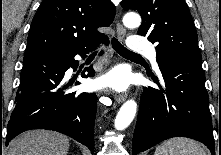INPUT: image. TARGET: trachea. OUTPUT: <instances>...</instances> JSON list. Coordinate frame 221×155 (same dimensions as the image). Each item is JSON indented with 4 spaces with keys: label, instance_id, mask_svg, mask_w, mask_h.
<instances>
[{
    "label": "trachea",
    "instance_id": "1",
    "mask_svg": "<svg viewBox=\"0 0 221 155\" xmlns=\"http://www.w3.org/2000/svg\"><path fill=\"white\" fill-rule=\"evenodd\" d=\"M112 47L115 51L123 57H130V58H140L141 56L128 50L124 47L117 39H112Z\"/></svg>",
    "mask_w": 221,
    "mask_h": 155
}]
</instances>
